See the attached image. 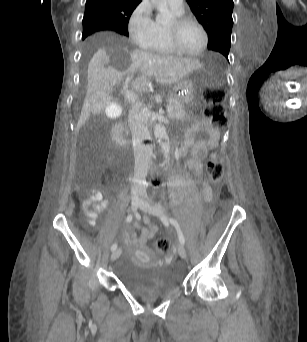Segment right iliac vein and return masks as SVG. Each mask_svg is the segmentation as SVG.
Wrapping results in <instances>:
<instances>
[{
    "mask_svg": "<svg viewBox=\"0 0 307 342\" xmlns=\"http://www.w3.org/2000/svg\"><path fill=\"white\" fill-rule=\"evenodd\" d=\"M141 203H142V199L140 197L133 196L131 200L132 211L136 212ZM121 251H122L121 248L114 250L110 256V260L111 261L116 260L120 256Z\"/></svg>",
    "mask_w": 307,
    "mask_h": 342,
    "instance_id": "right-iliac-vein-1",
    "label": "right iliac vein"
}]
</instances>
